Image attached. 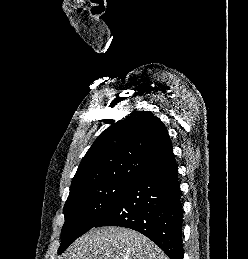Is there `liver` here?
<instances>
[{
    "mask_svg": "<svg viewBox=\"0 0 248 259\" xmlns=\"http://www.w3.org/2000/svg\"><path fill=\"white\" fill-rule=\"evenodd\" d=\"M61 259H169L139 232L118 226L93 228L78 238Z\"/></svg>",
    "mask_w": 248,
    "mask_h": 259,
    "instance_id": "1",
    "label": "liver"
}]
</instances>
